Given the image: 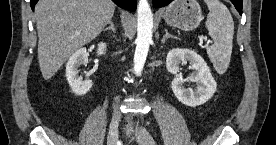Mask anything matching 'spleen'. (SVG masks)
<instances>
[{"instance_id": "spleen-1", "label": "spleen", "mask_w": 276, "mask_h": 145, "mask_svg": "<svg viewBox=\"0 0 276 145\" xmlns=\"http://www.w3.org/2000/svg\"><path fill=\"white\" fill-rule=\"evenodd\" d=\"M209 9L206 27L214 44L206 48L208 57L218 74H224L229 66L234 22L228 8L219 0H205Z\"/></svg>"}]
</instances>
